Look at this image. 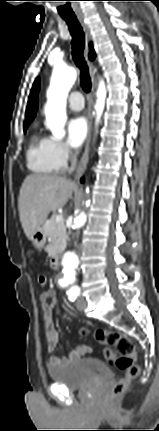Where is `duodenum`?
I'll list each match as a JSON object with an SVG mask.
<instances>
[{
  "label": "duodenum",
  "mask_w": 159,
  "mask_h": 431,
  "mask_svg": "<svg viewBox=\"0 0 159 431\" xmlns=\"http://www.w3.org/2000/svg\"><path fill=\"white\" fill-rule=\"evenodd\" d=\"M61 261V256L59 254H55L51 257L50 265L52 268L56 269L59 267Z\"/></svg>",
  "instance_id": "1"
}]
</instances>
